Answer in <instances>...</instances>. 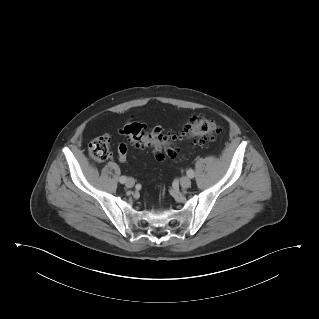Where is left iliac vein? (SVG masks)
Masks as SVG:
<instances>
[{
  "label": "left iliac vein",
  "mask_w": 319,
  "mask_h": 319,
  "mask_svg": "<svg viewBox=\"0 0 319 319\" xmlns=\"http://www.w3.org/2000/svg\"><path fill=\"white\" fill-rule=\"evenodd\" d=\"M180 184L183 188H189L191 185V180L187 176H183L180 180Z\"/></svg>",
  "instance_id": "1"
}]
</instances>
